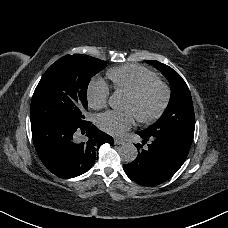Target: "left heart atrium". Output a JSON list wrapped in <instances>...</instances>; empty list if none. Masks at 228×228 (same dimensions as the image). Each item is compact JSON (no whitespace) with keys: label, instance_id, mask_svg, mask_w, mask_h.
Here are the masks:
<instances>
[{"label":"left heart atrium","instance_id":"1","mask_svg":"<svg viewBox=\"0 0 228 228\" xmlns=\"http://www.w3.org/2000/svg\"><path fill=\"white\" fill-rule=\"evenodd\" d=\"M134 115L130 111H109L99 117V122L106 132L116 135L132 126Z\"/></svg>","mask_w":228,"mask_h":228}]
</instances>
